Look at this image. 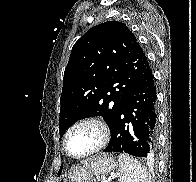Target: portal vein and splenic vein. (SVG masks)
<instances>
[{"label": "portal vein and splenic vein", "mask_w": 196, "mask_h": 182, "mask_svg": "<svg viewBox=\"0 0 196 182\" xmlns=\"http://www.w3.org/2000/svg\"><path fill=\"white\" fill-rule=\"evenodd\" d=\"M101 182H108L107 180L103 179Z\"/></svg>", "instance_id": "portal-vein-and-splenic-vein-1"}]
</instances>
